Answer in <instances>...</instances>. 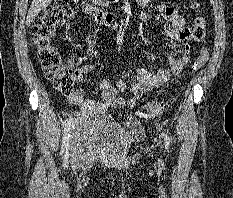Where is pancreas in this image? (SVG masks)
I'll return each mask as SVG.
<instances>
[{"instance_id": "obj_1", "label": "pancreas", "mask_w": 233, "mask_h": 198, "mask_svg": "<svg viewBox=\"0 0 233 198\" xmlns=\"http://www.w3.org/2000/svg\"><path fill=\"white\" fill-rule=\"evenodd\" d=\"M93 3H95L97 5H103V6L109 5V2H107L106 0H93Z\"/></svg>"}]
</instances>
